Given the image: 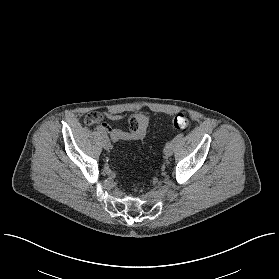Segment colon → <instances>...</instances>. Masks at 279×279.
<instances>
[{
  "instance_id": "5ec220e1",
  "label": "colon",
  "mask_w": 279,
  "mask_h": 279,
  "mask_svg": "<svg viewBox=\"0 0 279 279\" xmlns=\"http://www.w3.org/2000/svg\"><path fill=\"white\" fill-rule=\"evenodd\" d=\"M189 118L185 114H177L172 121L176 129H185L189 125Z\"/></svg>"
}]
</instances>
